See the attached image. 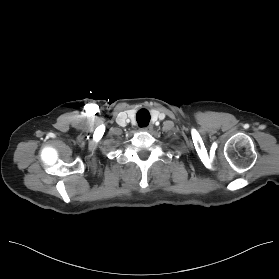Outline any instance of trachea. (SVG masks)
I'll use <instances>...</instances> for the list:
<instances>
[{
	"label": "trachea",
	"instance_id": "1",
	"mask_svg": "<svg viewBox=\"0 0 279 279\" xmlns=\"http://www.w3.org/2000/svg\"><path fill=\"white\" fill-rule=\"evenodd\" d=\"M150 118V113L146 109H141L136 114V120L140 127L147 126L149 124Z\"/></svg>",
	"mask_w": 279,
	"mask_h": 279
}]
</instances>
